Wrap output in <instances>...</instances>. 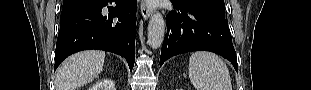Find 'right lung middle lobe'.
Returning <instances> with one entry per match:
<instances>
[{"mask_svg":"<svg viewBox=\"0 0 311 90\" xmlns=\"http://www.w3.org/2000/svg\"><path fill=\"white\" fill-rule=\"evenodd\" d=\"M80 0H63V8L68 7Z\"/></svg>","mask_w":311,"mask_h":90,"instance_id":"1","label":"right lung middle lobe"}]
</instances>
